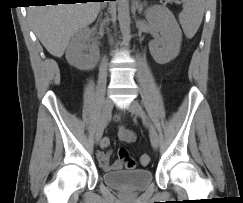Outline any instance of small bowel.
<instances>
[{
    "instance_id": "small-bowel-1",
    "label": "small bowel",
    "mask_w": 243,
    "mask_h": 203,
    "mask_svg": "<svg viewBox=\"0 0 243 203\" xmlns=\"http://www.w3.org/2000/svg\"><path fill=\"white\" fill-rule=\"evenodd\" d=\"M117 133H118L119 140L122 142L132 143L135 141V134L122 125L118 126ZM109 146H110V139L108 137L102 138L100 142V147L103 150L97 153V160L101 168L105 171L119 170L121 169V162L116 161L111 164L109 162L111 152L109 150L104 151L105 149H108Z\"/></svg>"
}]
</instances>
